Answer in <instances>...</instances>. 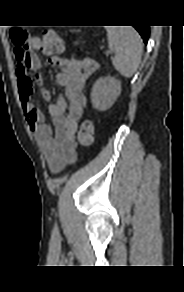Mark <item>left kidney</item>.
Segmentation results:
<instances>
[{
    "mask_svg": "<svg viewBox=\"0 0 184 292\" xmlns=\"http://www.w3.org/2000/svg\"><path fill=\"white\" fill-rule=\"evenodd\" d=\"M121 92V82L114 77H100L93 85L91 102L95 109H109Z\"/></svg>",
    "mask_w": 184,
    "mask_h": 292,
    "instance_id": "obj_1",
    "label": "left kidney"
}]
</instances>
